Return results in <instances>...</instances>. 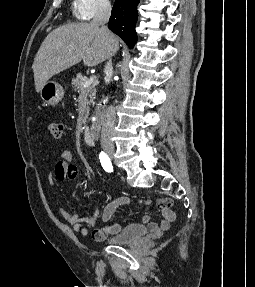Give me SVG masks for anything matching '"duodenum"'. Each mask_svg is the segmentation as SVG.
Here are the masks:
<instances>
[{
  "label": "duodenum",
  "instance_id": "obj_1",
  "mask_svg": "<svg viewBox=\"0 0 255 287\" xmlns=\"http://www.w3.org/2000/svg\"><path fill=\"white\" fill-rule=\"evenodd\" d=\"M83 140L86 144L92 145L94 143L91 129L89 127H84L82 132Z\"/></svg>",
  "mask_w": 255,
  "mask_h": 287
}]
</instances>
